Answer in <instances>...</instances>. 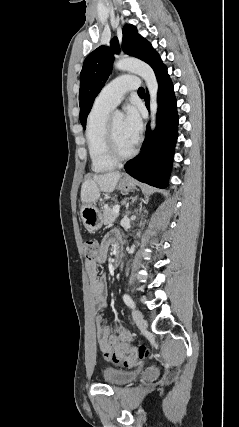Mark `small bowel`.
I'll return each instance as SVG.
<instances>
[{"mask_svg": "<svg viewBox=\"0 0 239 427\" xmlns=\"http://www.w3.org/2000/svg\"><path fill=\"white\" fill-rule=\"evenodd\" d=\"M118 243H121L120 234L115 230L109 232L104 236L95 260L88 261L86 263V272L89 280L90 310L95 316L98 345L107 360H113L109 345V339L113 332L111 328L104 325L101 320V311L105 305L106 284L105 278L98 274L97 265L98 263H103L106 260L109 247H115ZM114 331L117 338L123 341L131 340V333L122 325H117L114 328Z\"/></svg>", "mask_w": 239, "mask_h": 427, "instance_id": "1", "label": "small bowel"}]
</instances>
